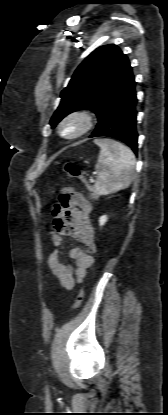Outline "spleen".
I'll list each match as a JSON object with an SVG mask.
<instances>
[{
	"instance_id": "spleen-1",
	"label": "spleen",
	"mask_w": 168,
	"mask_h": 415,
	"mask_svg": "<svg viewBox=\"0 0 168 415\" xmlns=\"http://www.w3.org/2000/svg\"><path fill=\"white\" fill-rule=\"evenodd\" d=\"M100 153L95 166L97 180L95 190L108 195L129 187L135 169L134 153L127 146L111 139H95Z\"/></svg>"
}]
</instances>
